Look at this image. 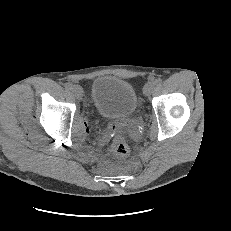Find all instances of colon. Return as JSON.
<instances>
[{
  "label": "colon",
  "mask_w": 231,
  "mask_h": 231,
  "mask_svg": "<svg viewBox=\"0 0 231 231\" xmlns=\"http://www.w3.org/2000/svg\"><path fill=\"white\" fill-rule=\"evenodd\" d=\"M109 150L116 156H126L130 152L129 145L122 135H117L112 140Z\"/></svg>",
  "instance_id": "5ec220e1"
}]
</instances>
